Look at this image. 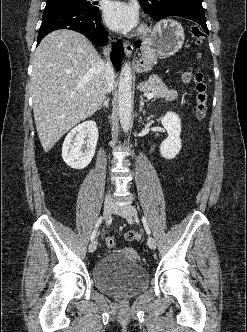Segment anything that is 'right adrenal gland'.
Instances as JSON below:
<instances>
[{
    "label": "right adrenal gland",
    "mask_w": 247,
    "mask_h": 332,
    "mask_svg": "<svg viewBox=\"0 0 247 332\" xmlns=\"http://www.w3.org/2000/svg\"><path fill=\"white\" fill-rule=\"evenodd\" d=\"M108 108L109 107V98L106 97L103 104L98 108V110H101L102 108Z\"/></svg>",
    "instance_id": "2a0ac1e0"
}]
</instances>
